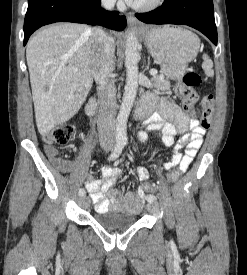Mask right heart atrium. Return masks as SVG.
Wrapping results in <instances>:
<instances>
[{
	"label": "right heart atrium",
	"instance_id": "d8ad5b80",
	"mask_svg": "<svg viewBox=\"0 0 247 275\" xmlns=\"http://www.w3.org/2000/svg\"><path fill=\"white\" fill-rule=\"evenodd\" d=\"M101 2L106 8H112L116 5L117 0H101Z\"/></svg>",
	"mask_w": 247,
	"mask_h": 275
}]
</instances>
